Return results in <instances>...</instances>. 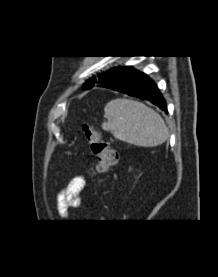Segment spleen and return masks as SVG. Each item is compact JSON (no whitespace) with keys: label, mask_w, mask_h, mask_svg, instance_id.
<instances>
[{"label":"spleen","mask_w":218,"mask_h":277,"mask_svg":"<svg viewBox=\"0 0 218 277\" xmlns=\"http://www.w3.org/2000/svg\"><path fill=\"white\" fill-rule=\"evenodd\" d=\"M107 122L103 130L123 142L142 147H154L168 138V128L162 117L145 104L130 99H114L104 108Z\"/></svg>","instance_id":"1"}]
</instances>
